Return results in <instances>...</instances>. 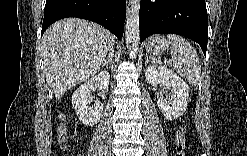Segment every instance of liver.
Returning <instances> with one entry per match:
<instances>
[{"label": "liver", "mask_w": 247, "mask_h": 156, "mask_svg": "<svg viewBox=\"0 0 247 156\" xmlns=\"http://www.w3.org/2000/svg\"><path fill=\"white\" fill-rule=\"evenodd\" d=\"M115 37L100 25L75 18L52 24L42 37L46 81L56 100L99 70Z\"/></svg>", "instance_id": "obj_1"}]
</instances>
